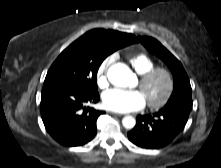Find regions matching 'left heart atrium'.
<instances>
[{"label":"left heart atrium","mask_w":221,"mask_h":168,"mask_svg":"<svg viewBox=\"0 0 221 168\" xmlns=\"http://www.w3.org/2000/svg\"><path fill=\"white\" fill-rule=\"evenodd\" d=\"M102 103L110 111L126 113L142 109L146 100L139 90L114 88L103 93Z\"/></svg>","instance_id":"1"}]
</instances>
